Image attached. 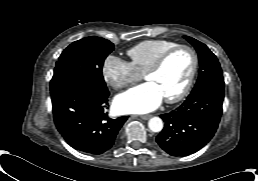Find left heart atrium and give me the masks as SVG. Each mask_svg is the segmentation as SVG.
I'll return each mask as SVG.
<instances>
[{
	"mask_svg": "<svg viewBox=\"0 0 258 181\" xmlns=\"http://www.w3.org/2000/svg\"><path fill=\"white\" fill-rule=\"evenodd\" d=\"M163 99L157 85L146 82L119 94L115 98V108L124 114H143L155 110Z\"/></svg>",
	"mask_w": 258,
	"mask_h": 181,
	"instance_id": "1",
	"label": "left heart atrium"
}]
</instances>
